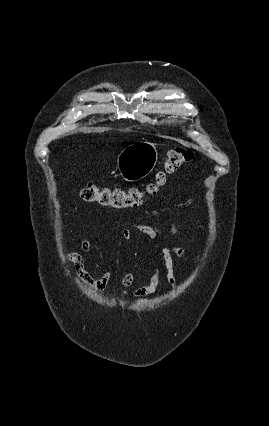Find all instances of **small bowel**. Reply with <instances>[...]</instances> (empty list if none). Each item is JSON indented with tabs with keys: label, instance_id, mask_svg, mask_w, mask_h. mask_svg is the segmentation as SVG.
Returning <instances> with one entry per match:
<instances>
[{
	"label": "small bowel",
	"instance_id": "c3829d8e",
	"mask_svg": "<svg viewBox=\"0 0 269 426\" xmlns=\"http://www.w3.org/2000/svg\"><path fill=\"white\" fill-rule=\"evenodd\" d=\"M137 230L144 236H146L150 241L153 242L155 251L159 254L162 259V265L166 277V281L170 287H175L177 280L174 273V256L178 257H186L185 250L180 246H160L158 244V238L160 236V230L158 227L153 225H134L132 229H124L121 233L122 238L125 241H131L133 238V231ZM170 233L173 236L179 235V230L176 225H172L170 228ZM82 250L86 253H90L92 251V243L89 239H84L81 243ZM67 260L74 264V268L76 274L83 285L89 289L95 290L100 295H104V291L109 284L113 273L114 266H110L101 277L94 278L91 274L86 270L85 263L83 257L77 252H67L65 254ZM162 275V268L160 266H156L152 275L149 278L148 284L144 286H140L133 290V295L140 301L147 300V297L154 293L157 286L159 285L160 278ZM135 279V275L133 272H128L122 278L119 286L120 287H128L130 286Z\"/></svg>",
	"mask_w": 269,
	"mask_h": 426
}]
</instances>
